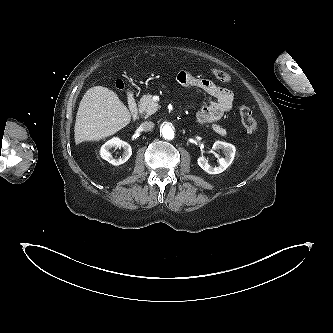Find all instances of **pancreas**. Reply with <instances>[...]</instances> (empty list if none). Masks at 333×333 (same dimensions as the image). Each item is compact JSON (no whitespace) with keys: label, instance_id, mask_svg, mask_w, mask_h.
<instances>
[{"label":"pancreas","instance_id":"pancreas-1","mask_svg":"<svg viewBox=\"0 0 333 333\" xmlns=\"http://www.w3.org/2000/svg\"><path fill=\"white\" fill-rule=\"evenodd\" d=\"M158 108L159 105L152 100L151 94H145L140 99L139 112L141 116L148 117L154 112H156ZM211 128L219 135L226 136V130L222 128L220 125L212 124Z\"/></svg>","mask_w":333,"mask_h":333}]
</instances>
